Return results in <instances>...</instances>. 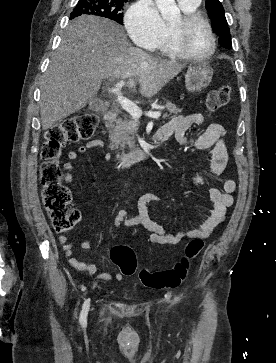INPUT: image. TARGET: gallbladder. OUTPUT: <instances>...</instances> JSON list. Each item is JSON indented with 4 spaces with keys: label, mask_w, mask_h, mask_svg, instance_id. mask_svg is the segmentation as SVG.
I'll return each mask as SVG.
<instances>
[{
    "label": "gallbladder",
    "mask_w": 276,
    "mask_h": 363,
    "mask_svg": "<svg viewBox=\"0 0 276 363\" xmlns=\"http://www.w3.org/2000/svg\"><path fill=\"white\" fill-rule=\"evenodd\" d=\"M103 108H104V101L98 98H93L88 105V109L94 112H99L103 110Z\"/></svg>",
    "instance_id": "gallbladder-1"
}]
</instances>
